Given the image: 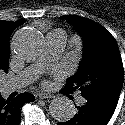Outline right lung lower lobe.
I'll return each instance as SVG.
<instances>
[{
	"label": "right lung lower lobe",
	"mask_w": 125,
	"mask_h": 125,
	"mask_svg": "<svg viewBox=\"0 0 125 125\" xmlns=\"http://www.w3.org/2000/svg\"><path fill=\"white\" fill-rule=\"evenodd\" d=\"M35 101L31 93H21L15 98L4 99L0 94V125H19L21 108L25 103Z\"/></svg>",
	"instance_id": "98d812e1"
}]
</instances>
